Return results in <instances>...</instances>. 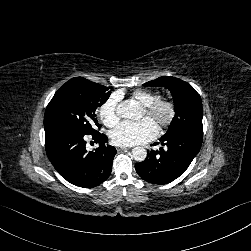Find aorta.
<instances>
[{"label": "aorta", "mask_w": 251, "mask_h": 251, "mask_svg": "<svg viewBox=\"0 0 251 251\" xmlns=\"http://www.w3.org/2000/svg\"><path fill=\"white\" fill-rule=\"evenodd\" d=\"M116 113L122 118H133L136 115V105L131 100H125L119 103L116 108ZM132 156L136 161H144L147 156V151L143 147H134L132 149Z\"/></svg>", "instance_id": "1"}]
</instances>
